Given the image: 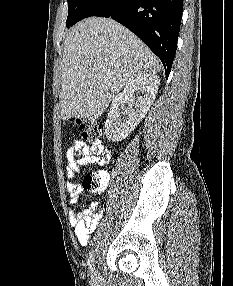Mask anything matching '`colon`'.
<instances>
[{"mask_svg": "<svg viewBox=\"0 0 233 286\" xmlns=\"http://www.w3.org/2000/svg\"><path fill=\"white\" fill-rule=\"evenodd\" d=\"M82 137L87 141L92 154L101 156L103 153L102 124L97 121H78ZM110 180L107 171L100 170L84 177L82 186L87 191L98 192L105 189Z\"/></svg>", "mask_w": 233, "mask_h": 286, "instance_id": "5ec220e1", "label": "colon"}]
</instances>
